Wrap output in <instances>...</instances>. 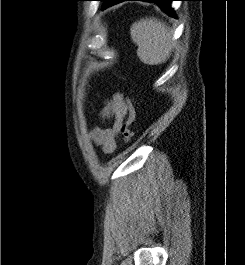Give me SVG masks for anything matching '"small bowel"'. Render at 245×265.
<instances>
[{"label":"small bowel","mask_w":245,"mask_h":265,"mask_svg":"<svg viewBox=\"0 0 245 265\" xmlns=\"http://www.w3.org/2000/svg\"><path fill=\"white\" fill-rule=\"evenodd\" d=\"M99 114L103 122L114 119V123L111 127H94L90 132V137L105 153H112L117 146L120 125L127 115V103L124 96L121 93H115L111 99L104 102Z\"/></svg>","instance_id":"obj_1"}]
</instances>
